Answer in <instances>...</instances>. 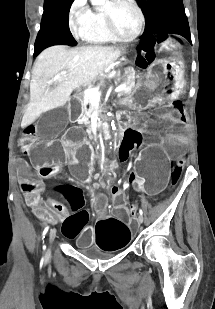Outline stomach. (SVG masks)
<instances>
[{"mask_svg":"<svg viewBox=\"0 0 215 309\" xmlns=\"http://www.w3.org/2000/svg\"><path fill=\"white\" fill-rule=\"evenodd\" d=\"M178 47L175 39H169L161 45L160 51L167 56L155 61L146 74L137 76L135 86L128 93L132 102L170 100L181 93L185 85L184 64L176 56ZM125 50L122 49L123 52Z\"/></svg>","mask_w":215,"mask_h":309,"instance_id":"stomach-1","label":"stomach"}]
</instances>
